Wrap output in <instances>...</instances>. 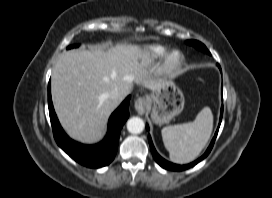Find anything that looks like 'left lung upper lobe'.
Returning a JSON list of instances; mask_svg holds the SVG:
<instances>
[{"label":"left lung upper lobe","mask_w":272,"mask_h":198,"mask_svg":"<svg viewBox=\"0 0 272 198\" xmlns=\"http://www.w3.org/2000/svg\"><path fill=\"white\" fill-rule=\"evenodd\" d=\"M187 43L194 46V47H196L199 50L204 51L207 54H210V52L208 51L206 46L204 44H202L201 42L197 41V40H189V41H187Z\"/></svg>","instance_id":"left-lung-upper-lobe-1"}]
</instances>
